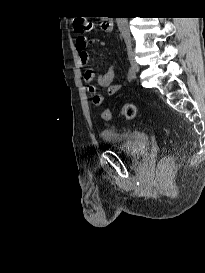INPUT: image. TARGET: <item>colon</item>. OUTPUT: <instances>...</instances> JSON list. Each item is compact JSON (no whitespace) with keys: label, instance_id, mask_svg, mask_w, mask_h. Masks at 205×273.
Wrapping results in <instances>:
<instances>
[{"label":"colon","instance_id":"5ec220e1","mask_svg":"<svg viewBox=\"0 0 205 273\" xmlns=\"http://www.w3.org/2000/svg\"><path fill=\"white\" fill-rule=\"evenodd\" d=\"M91 29H92L91 22H89L85 19H82V18L75 19V21H74L75 32L82 34V33L90 31ZM136 112H137L136 106L132 103H125L122 106L121 114L124 118H126L128 120L134 119L136 116ZM102 115L105 120H110L112 118V112L110 109L103 110ZM161 170L164 172L167 171L168 170V163H165L162 166Z\"/></svg>","mask_w":205,"mask_h":273}]
</instances>
